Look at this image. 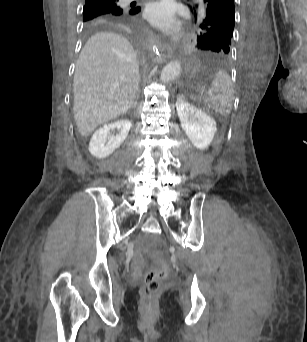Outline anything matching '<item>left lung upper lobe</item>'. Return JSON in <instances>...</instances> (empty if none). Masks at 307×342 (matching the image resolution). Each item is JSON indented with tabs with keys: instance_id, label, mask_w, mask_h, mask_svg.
Instances as JSON below:
<instances>
[{
	"instance_id": "1",
	"label": "left lung upper lobe",
	"mask_w": 307,
	"mask_h": 342,
	"mask_svg": "<svg viewBox=\"0 0 307 342\" xmlns=\"http://www.w3.org/2000/svg\"><path fill=\"white\" fill-rule=\"evenodd\" d=\"M203 7L198 15V5L190 2V7L197 27L196 47L228 55L231 52L235 24L233 0H203Z\"/></svg>"
}]
</instances>
